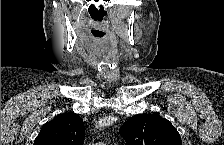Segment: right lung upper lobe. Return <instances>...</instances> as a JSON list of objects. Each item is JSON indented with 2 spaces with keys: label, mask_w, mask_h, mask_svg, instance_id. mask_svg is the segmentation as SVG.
<instances>
[{
  "label": "right lung upper lobe",
  "mask_w": 224,
  "mask_h": 145,
  "mask_svg": "<svg viewBox=\"0 0 224 145\" xmlns=\"http://www.w3.org/2000/svg\"><path fill=\"white\" fill-rule=\"evenodd\" d=\"M83 121L76 114H60L45 123L34 145H82L84 142Z\"/></svg>",
  "instance_id": "1"
}]
</instances>
